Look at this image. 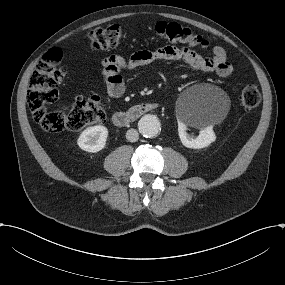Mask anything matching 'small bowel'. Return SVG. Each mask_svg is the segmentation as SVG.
Segmentation results:
<instances>
[{"instance_id":"small-bowel-1","label":"small bowel","mask_w":285,"mask_h":285,"mask_svg":"<svg viewBox=\"0 0 285 285\" xmlns=\"http://www.w3.org/2000/svg\"><path fill=\"white\" fill-rule=\"evenodd\" d=\"M163 60L183 61L196 70L212 72L221 78L228 77L233 72V66L227 61V53L222 46H215L210 57H203L187 46L169 45L155 50H139L127 60L118 55H111L105 58L101 65V75L108 95L116 98L124 92L123 71Z\"/></svg>"}]
</instances>
